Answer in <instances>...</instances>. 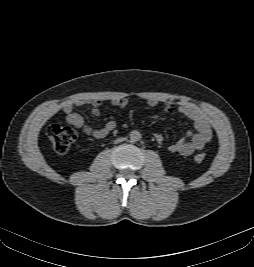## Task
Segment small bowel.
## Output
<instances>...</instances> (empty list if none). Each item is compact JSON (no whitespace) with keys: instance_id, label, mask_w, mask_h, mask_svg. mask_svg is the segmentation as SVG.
<instances>
[{"instance_id":"small-bowel-1","label":"small bowel","mask_w":254,"mask_h":267,"mask_svg":"<svg viewBox=\"0 0 254 267\" xmlns=\"http://www.w3.org/2000/svg\"><path fill=\"white\" fill-rule=\"evenodd\" d=\"M156 99H148L145 104L148 107H155L158 105ZM112 104L119 109H123L128 105L126 98H116L112 100ZM84 105L83 101H77L75 103H67L63 111L65 113V120L68 124L80 128L86 135L100 139L107 136L112 132L116 125L117 119H111L107 121L102 127L94 128L85 123L83 116L77 112L76 108ZM103 105L102 101H94L89 106V111L97 116L100 114V109ZM164 110L169 113H177L183 117L188 118L194 124L195 133H188L185 138H181L178 141L172 143L169 146V151L172 153H178L183 156H190L195 151L202 150L204 146L210 142L212 138V128L207 117L194 105L180 104L175 105L172 102L166 101L163 103ZM158 142H162V136L156 135Z\"/></svg>"}]
</instances>
